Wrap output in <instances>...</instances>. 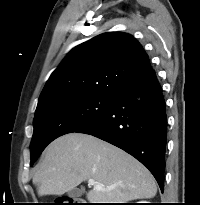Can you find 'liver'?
I'll return each instance as SVG.
<instances>
[{
	"label": "liver",
	"instance_id": "liver-1",
	"mask_svg": "<svg viewBox=\"0 0 200 205\" xmlns=\"http://www.w3.org/2000/svg\"><path fill=\"white\" fill-rule=\"evenodd\" d=\"M90 179L106 188L90 190V203H126L153 198L157 193L155 179L138 160L116 146L81 133L63 135L46 148L33 183L39 196L62 195Z\"/></svg>",
	"mask_w": 200,
	"mask_h": 205
}]
</instances>
